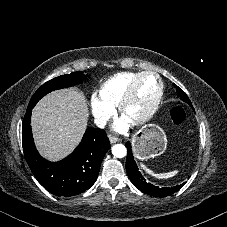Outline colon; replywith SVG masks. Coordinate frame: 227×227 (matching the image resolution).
<instances>
[{
    "mask_svg": "<svg viewBox=\"0 0 227 227\" xmlns=\"http://www.w3.org/2000/svg\"><path fill=\"white\" fill-rule=\"evenodd\" d=\"M171 120L177 124L182 125L186 120V112L181 107H173L170 111Z\"/></svg>",
    "mask_w": 227,
    "mask_h": 227,
    "instance_id": "obj_1",
    "label": "colon"
}]
</instances>
